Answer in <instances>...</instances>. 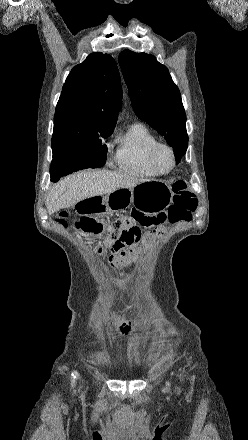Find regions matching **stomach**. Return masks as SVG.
Listing matches in <instances>:
<instances>
[{"mask_svg":"<svg viewBox=\"0 0 248 440\" xmlns=\"http://www.w3.org/2000/svg\"><path fill=\"white\" fill-rule=\"evenodd\" d=\"M172 188L161 181H146L132 188H121L110 194L88 198L90 204H75L78 218L73 219L75 232H85L86 237H99L108 232L109 224L103 223L109 212L129 207L134 201L143 209L159 212L172 201ZM140 198V200H139ZM92 244L97 240L92 239Z\"/></svg>","mask_w":248,"mask_h":440,"instance_id":"obj_1","label":"stomach"}]
</instances>
